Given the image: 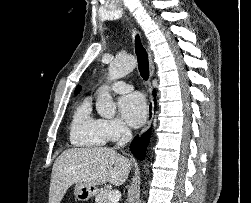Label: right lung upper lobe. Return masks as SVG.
<instances>
[{"label":"right lung upper lobe","instance_id":"cb5924a9","mask_svg":"<svg viewBox=\"0 0 251 203\" xmlns=\"http://www.w3.org/2000/svg\"><path fill=\"white\" fill-rule=\"evenodd\" d=\"M80 90H81V87L78 86V87L76 88V90H75V94H78V93L80 92Z\"/></svg>","mask_w":251,"mask_h":203}]
</instances>
